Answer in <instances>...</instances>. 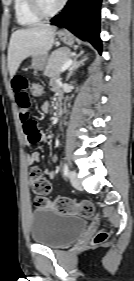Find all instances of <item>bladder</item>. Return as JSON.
I'll use <instances>...</instances> for the list:
<instances>
[{
  "label": "bladder",
  "mask_w": 134,
  "mask_h": 281,
  "mask_svg": "<svg viewBox=\"0 0 134 281\" xmlns=\"http://www.w3.org/2000/svg\"><path fill=\"white\" fill-rule=\"evenodd\" d=\"M86 227L82 216L36 209L31 214L30 236L36 244L58 249L74 242Z\"/></svg>",
  "instance_id": "obj_1"
}]
</instances>
